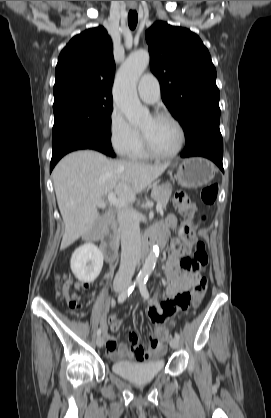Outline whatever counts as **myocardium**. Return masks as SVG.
<instances>
[{"label": "myocardium", "instance_id": "f54148a6", "mask_svg": "<svg viewBox=\"0 0 271 418\" xmlns=\"http://www.w3.org/2000/svg\"><path fill=\"white\" fill-rule=\"evenodd\" d=\"M152 117L154 119H168L169 121H171L177 128L178 132H179V143L178 146L176 147V149L170 153H160L157 152L156 150H154V148L152 147L146 133L144 131L141 130V137H142V141H143V145H144V149L146 151V153L154 158H158V159H169V158H173L176 155H178L180 153V151L182 150L184 144H185V139H186V135H185V130L182 126V124L170 113L167 112H156L152 115Z\"/></svg>", "mask_w": 271, "mask_h": 418}]
</instances>
